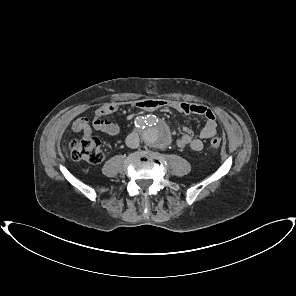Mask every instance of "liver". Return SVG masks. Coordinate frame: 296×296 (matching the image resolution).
Segmentation results:
<instances>
[{
    "label": "liver",
    "mask_w": 296,
    "mask_h": 296,
    "mask_svg": "<svg viewBox=\"0 0 296 296\" xmlns=\"http://www.w3.org/2000/svg\"><path fill=\"white\" fill-rule=\"evenodd\" d=\"M63 150L66 152V149H65V147L63 148Z\"/></svg>",
    "instance_id": "liver-1"
}]
</instances>
